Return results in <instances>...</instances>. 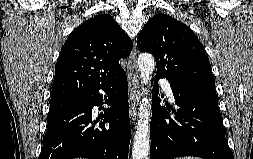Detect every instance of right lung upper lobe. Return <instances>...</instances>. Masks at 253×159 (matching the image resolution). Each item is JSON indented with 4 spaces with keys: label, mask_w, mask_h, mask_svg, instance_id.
Segmentation results:
<instances>
[{
    "label": "right lung upper lobe",
    "mask_w": 253,
    "mask_h": 159,
    "mask_svg": "<svg viewBox=\"0 0 253 159\" xmlns=\"http://www.w3.org/2000/svg\"><path fill=\"white\" fill-rule=\"evenodd\" d=\"M133 47L109 14H98L73 30L55 66L50 102L80 99L124 70L119 64Z\"/></svg>",
    "instance_id": "1"
}]
</instances>
